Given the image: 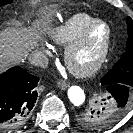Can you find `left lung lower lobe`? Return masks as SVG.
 <instances>
[{
	"instance_id": "left-lung-lower-lobe-1",
	"label": "left lung lower lobe",
	"mask_w": 133,
	"mask_h": 133,
	"mask_svg": "<svg viewBox=\"0 0 133 133\" xmlns=\"http://www.w3.org/2000/svg\"><path fill=\"white\" fill-rule=\"evenodd\" d=\"M106 89L108 91L106 101L110 107L115 110H126L133 88L123 84H109L106 85Z\"/></svg>"
}]
</instances>
